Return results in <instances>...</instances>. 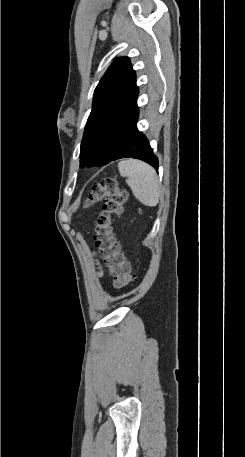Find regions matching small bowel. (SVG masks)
Segmentation results:
<instances>
[{
	"mask_svg": "<svg viewBox=\"0 0 245 457\" xmlns=\"http://www.w3.org/2000/svg\"><path fill=\"white\" fill-rule=\"evenodd\" d=\"M98 268H99V272L98 273L101 275L102 271H101V267H100L99 263H98Z\"/></svg>",
	"mask_w": 245,
	"mask_h": 457,
	"instance_id": "small-bowel-1",
	"label": "small bowel"
}]
</instances>
